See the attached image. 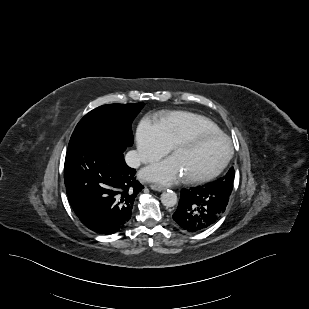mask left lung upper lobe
Listing matches in <instances>:
<instances>
[{"instance_id":"left-lung-upper-lobe-1","label":"left lung upper lobe","mask_w":309,"mask_h":309,"mask_svg":"<svg viewBox=\"0 0 309 309\" xmlns=\"http://www.w3.org/2000/svg\"><path fill=\"white\" fill-rule=\"evenodd\" d=\"M234 180V168H230L227 174L219 178L217 181L212 182L211 184L216 185L220 188L232 189Z\"/></svg>"}]
</instances>
